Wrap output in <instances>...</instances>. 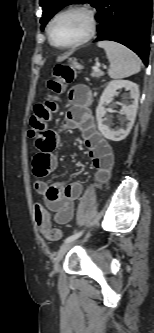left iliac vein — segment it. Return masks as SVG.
Wrapping results in <instances>:
<instances>
[{"label":"left iliac vein","mask_w":154,"mask_h":333,"mask_svg":"<svg viewBox=\"0 0 154 333\" xmlns=\"http://www.w3.org/2000/svg\"><path fill=\"white\" fill-rule=\"evenodd\" d=\"M74 245V240L65 242L59 249L58 254L54 260V270L57 271L59 267V262L65 255V253Z\"/></svg>","instance_id":"4c4485c4"}]
</instances>
